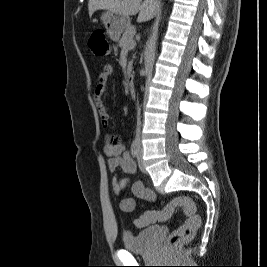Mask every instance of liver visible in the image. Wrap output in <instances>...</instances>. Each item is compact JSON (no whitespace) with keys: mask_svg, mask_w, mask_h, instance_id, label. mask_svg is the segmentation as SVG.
Returning <instances> with one entry per match:
<instances>
[{"mask_svg":"<svg viewBox=\"0 0 267 267\" xmlns=\"http://www.w3.org/2000/svg\"><path fill=\"white\" fill-rule=\"evenodd\" d=\"M99 9L108 10L123 16L138 14V22L151 20L159 10L157 0H89V16Z\"/></svg>","mask_w":267,"mask_h":267,"instance_id":"1","label":"liver"}]
</instances>
